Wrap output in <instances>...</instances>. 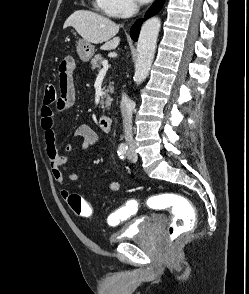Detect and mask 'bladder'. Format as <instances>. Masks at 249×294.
Listing matches in <instances>:
<instances>
[{"label": "bladder", "mask_w": 249, "mask_h": 294, "mask_svg": "<svg viewBox=\"0 0 249 294\" xmlns=\"http://www.w3.org/2000/svg\"><path fill=\"white\" fill-rule=\"evenodd\" d=\"M156 216L143 215L132 220L128 226L112 235L110 240L113 243H120L131 238L146 237L155 223L160 221Z\"/></svg>", "instance_id": "obj_1"}]
</instances>
